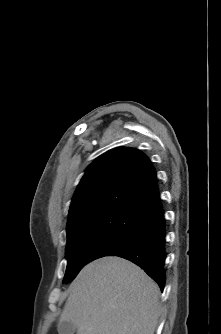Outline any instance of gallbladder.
Masks as SVG:
<instances>
[{"mask_svg":"<svg viewBox=\"0 0 221 334\" xmlns=\"http://www.w3.org/2000/svg\"><path fill=\"white\" fill-rule=\"evenodd\" d=\"M58 333L59 334H74L76 326L69 321H62L58 324Z\"/></svg>","mask_w":221,"mask_h":334,"instance_id":"gallbladder-1","label":"gallbladder"}]
</instances>
